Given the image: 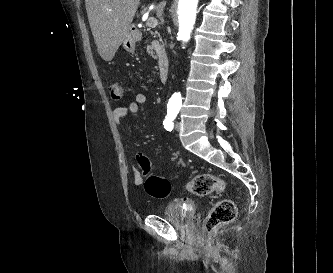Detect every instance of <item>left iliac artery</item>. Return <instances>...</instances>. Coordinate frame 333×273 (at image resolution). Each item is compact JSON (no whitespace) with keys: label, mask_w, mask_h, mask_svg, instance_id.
<instances>
[{"label":"left iliac artery","mask_w":333,"mask_h":273,"mask_svg":"<svg viewBox=\"0 0 333 273\" xmlns=\"http://www.w3.org/2000/svg\"><path fill=\"white\" fill-rule=\"evenodd\" d=\"M177 114H178V110L170 109V108L168 109L166 118L163 121L164 128L167 131H171L173 129V127H174L173 121L176 118Z\"/></svg>","instance_id":"1"}]
</instances>
